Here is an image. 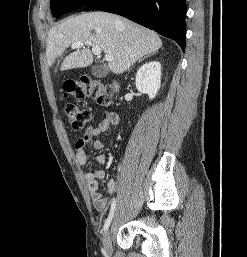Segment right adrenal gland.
I'll list each match as a JSON object with an SVG mask.
<instances>
[{
	"label": "right adrenal gland",
	"mask_w": 247,
	"mask_h": 257,
	"mask_svg": "<svg viewBox=\"0 0 247 257\" xmlns=\"http://www.w3.org/2000/svg\"><path fill=\"white\" fill-rule=\"evenodd\" d=\"M151 54H149V55H146V56H144V57H142V58H140L139 60H138V62H141V61H143L145 58H147V57H149ZM130 69H128V71H129Z\"/></svg>",
	"instance_id": "1"
}]
</instances>
